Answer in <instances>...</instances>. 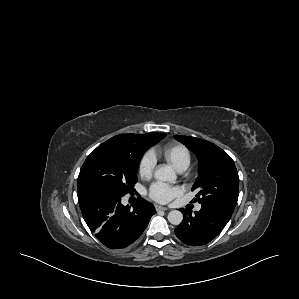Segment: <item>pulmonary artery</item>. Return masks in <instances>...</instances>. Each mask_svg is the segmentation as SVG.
<instances>
[{
  "label": "pulmonary artery",
  "mask_w": 299,
  "mask_h": 299,
  "mask_svg": "<svg viewBox=\"0 0 299 299\" xmlns=\"http://www.w3.org/2000/svg\"><path fill=\"white\" fill-rule=\"evenodd\" d=\"M195 209H196L197 211H199V210L201 209V205H200V204H197L196 207H195Z\"/></svg>",
  "instance_id": "e3ab8cb5"
}]
</instances>
